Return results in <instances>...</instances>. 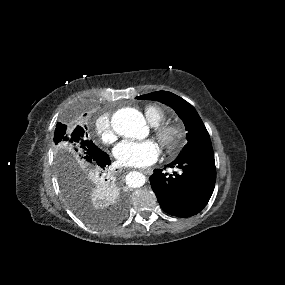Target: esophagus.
Segmentation results:
<instances>
[{"instance_id": "1", "label": "esophagus", "mask_w": 285, "mask_h": 285, "mask_svg": "<svg viewBox=\"0 0 285 285\" xmlns=\"http://www.w3.org/2000/svg\"><path fill=\"white\" fill-rule=\"evenodd\" d=\"M141 172H143L147 175H151L153 173V169H151V168L142 169Z\"/></svg>"}]
</instances>
